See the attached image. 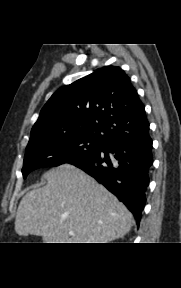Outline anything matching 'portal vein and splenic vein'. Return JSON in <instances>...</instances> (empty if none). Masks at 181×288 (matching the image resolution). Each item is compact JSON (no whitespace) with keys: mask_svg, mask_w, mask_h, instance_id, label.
Masks as SVG:
<instances>
[{"mask_svg":"<svg viewBox=\"0 0 181 288\" xmlns=\"http://www.w3.org/2000/svg\"><path fill=\"white\" fill-rule=\"evenodd\" d=\"M62 218H66V216H62Z\"/></svg>","mask_w":181,"mask_h":288,"instance_id":"1","label":"portal vein and splenic vein"}]
</instances>
